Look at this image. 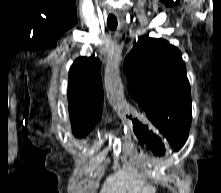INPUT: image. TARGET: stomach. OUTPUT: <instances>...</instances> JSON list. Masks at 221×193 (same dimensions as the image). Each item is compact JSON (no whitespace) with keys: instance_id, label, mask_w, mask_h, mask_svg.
<instances>
[{"instance_id":"1","label":"stomach","mask_w":221,"mask_h":193,"mask_svg":"<svg viewBox=\"0 0 221 193\" xmlns=\"http://www.w3.org/2000/svg\"><path fill=\"white\" fill-rule=\"evenodd\" d=\"M108 101L130 127L128 137L132 142H128L126 155H148L149 159H165V155H168L166 142H163L165 133H159L156 125H152L150 120H144L145 116L138 114L135 104L129 102V98H109ZM121 163L125 167L140 166L139 159H122Z\"/></svg>"}]
</instances>
